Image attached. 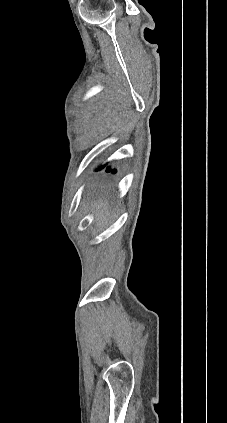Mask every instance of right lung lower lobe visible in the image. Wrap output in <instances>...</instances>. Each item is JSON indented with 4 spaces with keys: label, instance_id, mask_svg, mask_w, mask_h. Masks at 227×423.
I'll use <instances>...</instances> for the list:
<instances>
[{
    "label": "right lung lower lobe",
    "instance_id": "obj_1",
    "mask_svg": "<svg viewBox=\"0 0 227 423\" xmlns=\"http://www.w3.org/2000/svg\"><path fill=\"white\" fill-rule=\"evenodd\" d=\"M110 171H111V169L108 167L107 172H110ZM112 172L115 173L116 170H112Z\"/></svg>",
    "mask_w": 227,
    "mask_h": 423
}]
</instances>
